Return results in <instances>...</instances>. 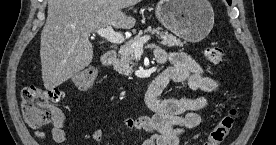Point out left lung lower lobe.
Here are the masks:
<instances>
[{"instance_id": "obj_1", "label": "left lung lower lobe", "mask_w": 276, "mask_h": 145, "mask_svg": "<svg viewBox=\"0 0 276 145\" xmlns=\"http://www.w3.org/2000/svg\"><path fill=\"white\" fill-rule=\"evenodd\" d=\"M231 1H232V0H227V2H228L229 5H231Z\"/></svg>"}]
</instances>
